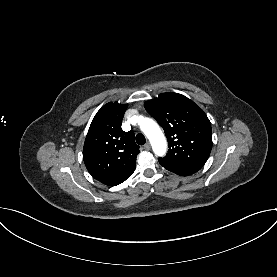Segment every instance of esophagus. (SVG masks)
I'll use <instances>...</instances> for the list:
<instances>
[{
  "instance_id": "1",
  "label": "esophagus",
  "mask_w": 277,
  "mask_h": 277,
  "mask_svg": "<svg viewBox=\"0 0 277 277\" xmlns=\"http://www.w3.org/2000/svg\"><path fill=\"white\" fill-rule=\"evenodd\" d=\"M150 148H151V145H150L149 142H147V143L144 145V149L150 150Z\"/></svg>"
}]
</instances>
